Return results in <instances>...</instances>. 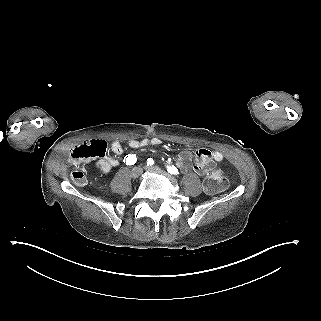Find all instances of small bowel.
<instances>
[{"label": "small bowel", "instance_id": "small-bowel-1", "mask_svg": "<svg viewBox=\"0 0 321 321\" xmlns=\"http://www.w3.org/2000/svg\"><path fill=\"white\" fill-rule=\"evenodd\" d=\"M92 144L99 145L103 149V152L99 155V159L95 163L96 169H100L101 171L108 173L119 164L118 160L105 155V152L108 149V145L105 141L97 140ZM159 144H161V140L159 138L142 140L131 139L128 142V145L132 149L155 146ZM109 149L116 155H122L124 151L122 145L118 141L112 142L109 145ZM222 160V153L203 148L199 149L195 156H193V154L189 151L182 152L177 161V166L182 171L193 170L197 174L206 175L214 167L215 163L221 162Z\"/></svg>", "mask_w": 321, "mask_h": 321}]
</instances>
